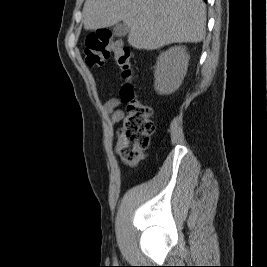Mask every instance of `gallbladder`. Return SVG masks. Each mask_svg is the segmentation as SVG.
Returning <instances> with one entry per match:
<instances>
[{
    "label": "gallbladder",
    "instance_id": "gallbladder-1",
    "mask_svg": "<svg viewBox=\"0 0 267 267\" xmlns=\"http://www.w3.org/2000/svg\"><path fill=\"white\" fill-rule=\"evenodd\" d=\"M129 32V27L125 24H116L113 27V35L116 37H124Z\"/></svg>",
    "mask_w": 267,
    "mask_h": 267
}]
</instances>
